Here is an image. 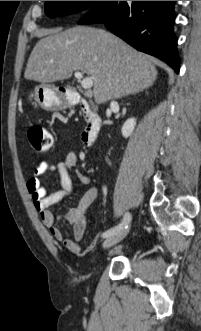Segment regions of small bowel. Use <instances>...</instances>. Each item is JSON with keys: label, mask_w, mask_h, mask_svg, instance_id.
<instances>
[{"label": "small bowel", "mask_w": 201, "mask_h": 331, "mask_svg": "<svg viewBox=\"0 0 201 331\" xmlns=\"http://www.w3.org/2000/svg\"><path fill=\"white\" fill-rule=\"evenodd\" d=\"M78 162V156L71 152L61 161L51 163L41 162L33 171L27 181V190L32 199L33 205L40 215L43 224L49 229L51 235L63 243L64 247L73 254L85 255L96 245L97 239L88 247H82L81 241L86 229V212L98 195L97 188L92 185L89 175L80 173L78 179L89 188L81 196L76 207L71 208L66 214L55 217L50 211V207L68 197L73 191V183L69 170ZM56 173L59 178L60 189L49 192L41 183V178L47 174ZM61 220L70 224L73 228V238H65L61 229L57 226V221Z\"/></svg>", "instance_id": "1"}]
</instances>
